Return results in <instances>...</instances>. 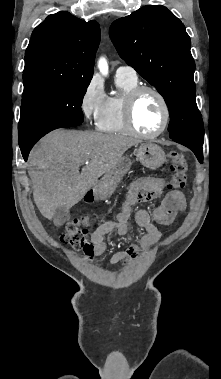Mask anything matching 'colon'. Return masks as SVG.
<instances>
[{
    "mask_svg": "<svg viewBox=\"0 0 221 379\" xmlns=\"http://www.w3.org/2000/svg\"><path fill=\"white\" fill-rule=\"evenodd\" d=\"M171 177L169 186L173 190L184 188L187 183L188 162L185 156L177 151L170 154ZM88 220L84 217L76 218L69 222L60 235L63 243L85 248L88 245L87 235Z\"/></svg>",
    "mask_w": 221,
    "mask_h": 379,
    "instance_id": "5ec220e1",
    "label": "colon"
}]
</instances>
